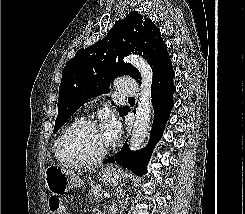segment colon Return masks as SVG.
Wrapping results in <instances>:
<instances>
[{
    "label": "colon",
    "mask_w": 245,
    "mask_h": 214,
    "mask_svg": "<svg viewBox=\"0 0 245 214\" xmlns=\"http://www.w3.org/2000/svg\"><path fill=\"white\" fill-rule=\"evenodd\" d=\"M49 208L53 214H68L61 206L60 200L57 198H51L49 200Z\"/></svg>",
    "instance_id": "5ec220e1"
}]
</instances>
